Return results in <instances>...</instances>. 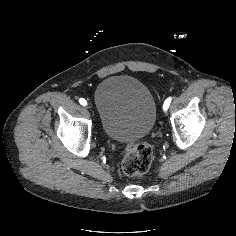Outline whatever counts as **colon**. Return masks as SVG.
I'll list each match as a JSON object with an SVG mask.
<instances>
[{"label":"colon","mask_w":236,"mask_h":236,"mask_svg":"<svg viewBox=\"0 0 236 236\" xmlns=\"http://www.w3.org/2000/svg\"><path fill=\"white\" fill-rule=\"evenodd\" d=\"M154 158L153 149L146 143H132L125 149L122 171L128 177L146 173Z\"/></svg>","instance_id":"obj_1"}]
</instances>
